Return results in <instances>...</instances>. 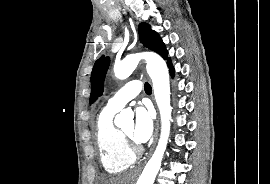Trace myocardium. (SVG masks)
<instances>
[{"label": "myocardium", "mask_w": 270, "mask_h": 184, "mask_svg": "<svg viewBox=\"0 0 270 184\" xmlns=\"http://www.w3.org/2000/svg\"><path fill=\"white\" fill-rule=\"evenodd\" d=\"M121 135L123 137V140L126 144V147L128 151L134 155L135 157L140 154L141 152V147L134 141V139L126 134L124 131H121Z\"/></svg>", "instance_id": "1"}]
</instances>
